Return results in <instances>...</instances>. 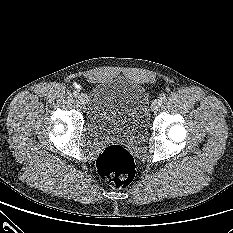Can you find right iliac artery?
I'll return each mask as SVG.
<instances>
[{
	"mask_svg": "<svg viewBox=\"0 0 233 233\" xmlns=\"http://www.w3.org/2000/svg\"><path fill=\"white\" fill-rule=\"evenodd\" d=\"M73 95H74L75 97H77V96H79V92H78V91H74V92H73Z\"/></svg>",
	"mask_w": 233,
	"mask_h": 233,
	"instance_id": "obj_1",
	"label": "right iliac artery"
}]
</instances>
